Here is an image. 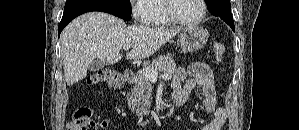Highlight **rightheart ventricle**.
<instances>
[{
  "mask_svg": "<svg viewBox=\"0 0 299 130\" xmlns=\"http://www.w3.org/2000/svg\"><path fill=\"white\" fill-rule=\"evenodd\" d=\"M164 0H149L147 3L146 24L155 27H164L171 24L165 13Z\"/></svg>",
  "mask_w": 299,
  "mask_h": 130,
  "instance_id": "e07e8e85",
  "label": "right heart ventricle"
}]
</instances>
